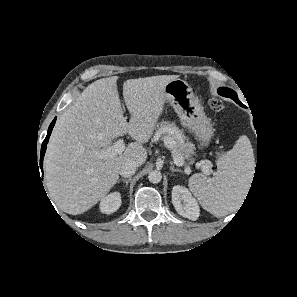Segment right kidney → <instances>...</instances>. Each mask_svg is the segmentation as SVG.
I'll use <instances>...</instances> for the list:
<instances>
[{
  "instance_id": "ca27d5eb",
  "label": "right kidney",
  "mask_w": 297,
  "mask_h": 297,
  "mask_svg": "<svg viewBox=\"0 0 297 297\" xmlns=\"http://www.w3.org/2000/svg\"><path fill=\"white\" fill-rule=\"evenodd\" d=\"M121 205V194L118 191L106 195L100 202V211L105 214L114 213Z\"/></svg>"
}]
</instances>
